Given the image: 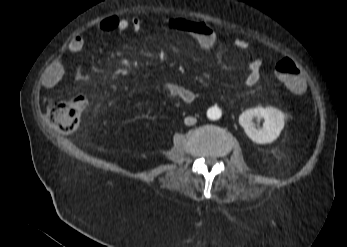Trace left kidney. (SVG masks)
Returning <instances> with one entry per match:
<instances>
[{
	"label": "left kidney",
	"mask_w": 347,
	"mask_h": 247,
	"mask_svg": "<svg viewBox=\"0 0 347 247\" xmlns=\"http://www.w3.org/2000/svg\"><path fill=\"white\" fill-rule=\"evenodd\" d=\"M253 118L265 121L261 129L255 127ZM239 123L246 135L254 142L267 144L276 140L284 128V114L274 107H256L244 111L239 116Z\"/></svg>",
	"instance_id": "left-kidney-1"
}]
</instances>
